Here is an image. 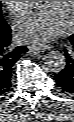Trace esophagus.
Returning <instances> with one entry per match:
<instances>
[{
    "label": "esophagus",
    "instance_id": "34e87169",
    "mask_svg": "<svg viewBox=\"0 0 74 122\" xmlns=\"http://www.w3.org/2000/svg\"><path fill=\"white\" fill-rule=\"evenodd\" d=\"M51 47L48 45H36V44H32L28 46L29 52L30 53H36L39 51H44L47 49H50Z\"/></svg>",
    "mask_w": 74,
    "mask_h": 122
}]
</instances>
